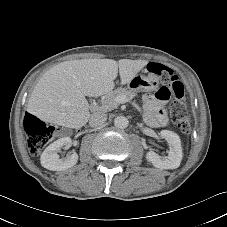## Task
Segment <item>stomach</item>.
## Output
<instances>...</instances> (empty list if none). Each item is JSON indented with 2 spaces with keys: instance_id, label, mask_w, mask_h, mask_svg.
<instances>
[{
  "instance_id": "0dacf381",
  "label": "stomach",
  "mask_w": 227,
  "mask_h": 227,
  "mask_svg": "<svg viewBox=\"0 0 227 227\" xmlns=\"http://www.w3.org/2000/svg\"><path fill=\"white\" fill-rule=\"evenodd\" d=\"M159 86V78L154 74L148 76L137 74L128 83V88L132 92H148L153 91Z\"/></svg>"
}]
</instances>
